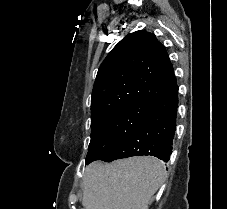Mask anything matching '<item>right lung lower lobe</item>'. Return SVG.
Wrapping results in <instances>:
<instances>
[{
    "instance_id": "obj_1",
    "label": "right lung lower lobe",
    "mask_w": 227,
    "mask_h": 209,
    "mask_svg": "<svg viewBox=\"0 0 227 209\" xmlns=\"http://www.w3.org/2000/svg\"><path fill=\"white\" fill-rule=\"evenodd\" d=\"M169 81L176 86L172 92L149 104L143 122L101 160L111 162L132 156H155L168 162L176 130L178 85L173 67L167 70Z\"/></svg>"
}]
</instances>
